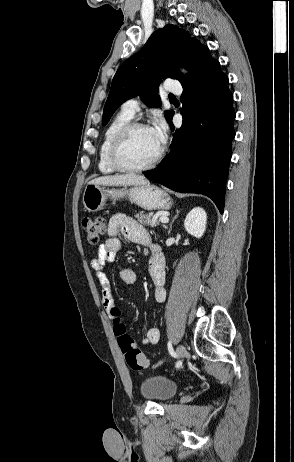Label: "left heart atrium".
<instances>
[{
  "label": "left heart atrium",
  "instance_id": "left-heart-atrium-1",
  "mask_svg": "<svg viewBox=\"0 0 294 462\" xmlns=\"http://www.w3.org/2000/svg\"><path fill=\"white\" fill-rule=\"evenodd\" d=\"M150 130L156 140V143L160 148H162L167 139V126L165 122L163 120L156 121Z\"/></svg>",
  "mask_w": 294,
  "mask_h": 462
}]
</instances>
